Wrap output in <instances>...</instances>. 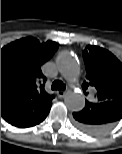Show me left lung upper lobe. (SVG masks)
Returning a JSON list of instances; mask_svg holds the SVG:
<instances>
[{"label":"left lung upper lobe","instance_id":"left-lung-upper-lobe-1","mask_svg":"<svg viewBox=\"0 0 122 154\" xmlns=\"http://www.w3.org/2000/svg\"><path fill=\"white\" fill-rule=\"evenodd\" d=\"M88 81L82 88L96 89L95 102L122 101V63L109 51L88 45L82 53Z\"/></svg>","mask_w":122,"mask_h":154}]
</instances>
